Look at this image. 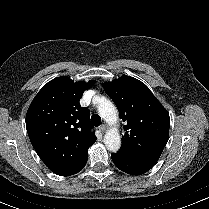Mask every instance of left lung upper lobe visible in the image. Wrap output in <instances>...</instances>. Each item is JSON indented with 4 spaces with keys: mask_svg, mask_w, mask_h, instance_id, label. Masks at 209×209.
I'll return each instance as SVG.
<instances>
[{
    "mask_svg": "<svg viewBox=\"0 0 209 209\" xmlns=\"http://www.w3.org/2000/svg\"><path fill=\"white\" fill-rule=\"evenodd\" d=\"M103 86L127 122L118 153L157 161L168 141L169 113L150 89L133 77L122 76Z\"/></svg>",
    "mask_w": 209,
    "mask_h": 209,
    "instance_id": "5c2ea615",
    "label": "left lung upper lobe"
}]
</instances>
